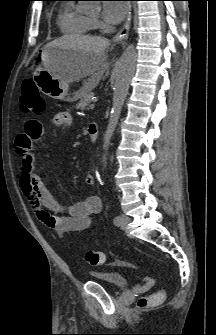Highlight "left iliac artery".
<instances>
[{"instance_id": "left-iliac-artery-1", "label": "left iliac artery", "mask_w": 216, "mask_h": 335, "mask_svg": "<svg viewBox=\"0 0 216 335\" xmlns=\"http://www.w3.org/2000/svg\"><path fill=\"white\" fill-rule=\"evenodd\" d=\"M120 220H121L120 216H116V217L114 218V224L118 225L119 222H120Z\"/></svg>"}]
</instances>
